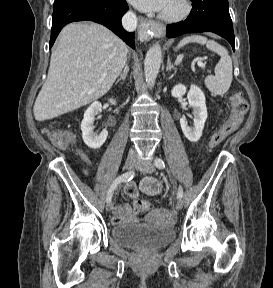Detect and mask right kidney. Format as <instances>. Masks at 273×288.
Returning a JSON list of instances; mask_svg holds the SVG:
<instances>
[{
	"label": "right kidney",
	"mask_w": 273,
	"mask_h": 288,
	"mask_svg": "<svg viewBox=\"0 0 273 288\" xmlns=\"http://www.w3.org/2000/svg\"><path fill=\"white\" fill-rule=\"evenodd\" d=\"M111 104H116L113 99L109 100ZM102 110L100 102L96 101L92 103L84 113V118L81 122L82 138L84 143L92 148H100L107 139L108 131L104 129L100 134L94 132L95 116Z\"/></svg>",
	"instance_id": "1"
}]
</instances>
